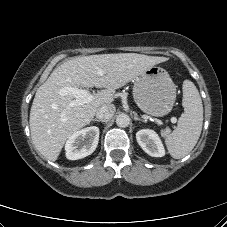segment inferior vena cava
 <instances>
[{
  "label": "inferior vena cava",
  "mask_w": 227,
  "mask_h": 227,
  "mask_svg": "<svg viewBox=\"0 0 227 227\" xmlns=\"http://www.w3.org/2000/svg\"><path fill=\"white\" fill-rule=\"evenodd\" d=\"M115 106L113 104H103L96 111V117L103 122L109 121L115 113Z\"/></svg>",
  "instance_id": "1"
}]
</instances>
